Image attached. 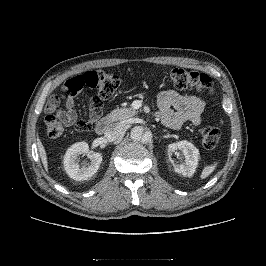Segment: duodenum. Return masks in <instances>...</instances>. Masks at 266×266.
<instances>
[{
  "mask_svg": "<svg viewBox=\"0 0 266 266\" xmlns=\"http://www.w3.org/2000/svg\"><path fill=\"white\" fill-rule=\"evenodd\" d=\"M109 127V120L106 118L98 120L94 125V130L96 134L103 135Z\"/></svg>",
  "mask_w": 266,
  "mask_h": 266,
  "instance_id": "410a0bca",
  "label": "duodenum"
}]
</instances>
